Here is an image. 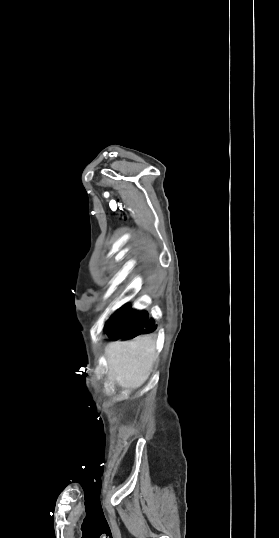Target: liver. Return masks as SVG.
<instances>
[{
	"instance_id": "6515ba94",
	"label": "liver",
	"mask_w": 279,
	"mask_h": 538,
	"mask_svg": "<svg viewBox=\"0 0 279 538\" xmlns=\"http://www.w3.org/2000/svg\"><path fill=\"white\" fill-rule=\"evenodd\" d=\"M109 378L120 388H140L148 380L155 360V340L138 336L132 342H112L105 348Z\"/></svg>"
}]
</instances>
